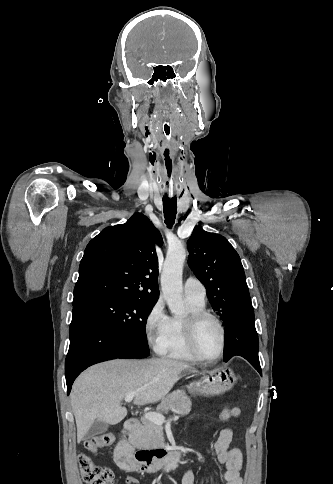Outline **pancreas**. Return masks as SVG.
Returning <instances> with one entry per match:
<instances>
[{
  "label": "pancreas",
  "instance_id": "cf45deb5",
  "mask_svg": "<svg viewBox=\"0 0 333 484\" xmlns=\"http://www.w3.org/2000/svg\"><path fill=\"white\" fill-rule=\"evenodd\" d=\"M191 400L185 391L177 390L164 398L157 407L158 413L167 412L170 408H175L180 416L188 415L191 411ZM142 424L129 434L131 443L144 449H152L164 446L165 439L162 425H158L145 418L141 419Z\"/></svg>",
  "mask_w": 333,
  "mask_h": 484
}]
</instances>
